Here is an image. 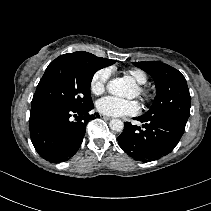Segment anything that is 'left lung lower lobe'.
<instances>
[{"label":"left lung lower lobe","mask_w":211,"mask_h":211,"mask_svg":"<svg viewBox=\"0 0 211 211\" xmlns=\"http://www.w3.org/2000/svg\"><path fill=\"white\" fill-rule=\"evenodd\" d=\"M134 119L144 122V129L126 122L118 143L128 155L144 162L169 154L185 130L184 124L164 115H142Z\"/></svg>","instance_id":"1"}]
</instances>
